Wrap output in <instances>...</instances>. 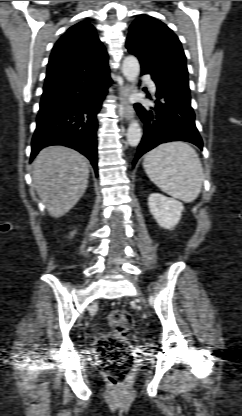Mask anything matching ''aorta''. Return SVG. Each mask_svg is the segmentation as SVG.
Segmentation results:
<instances>
[{"instance_id":"762f6f07","label":"aorta","mask_w":242,"mask_h":416,"mask_svg":"<svg viewBox=\"0 0 242 416\" xmlns=\"http://www.w3.org/2000/svg\"><path fill=\"white\" fill-rule=\"evenodd\" d=\"M122 72L124 77L129 82H135L140 73V64L135 56H127L123 60ZM127 141L130 146L135 147L139 144L142 137V129L138 122H132L127 130Z\"/></svg>"}]
</instances>
